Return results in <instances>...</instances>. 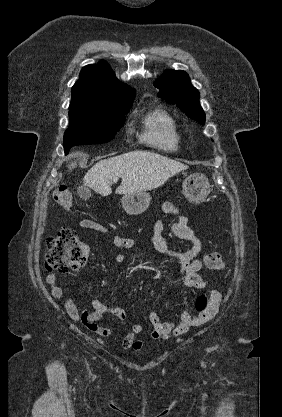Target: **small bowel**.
Listing matches in <instances>:
<instances>
[{
    "instance_id": "1",
    "label": "small bowel",
    "mask_w": 282,
    "mask_h": 417,
    "mask_svg": "<svg viewBox=\"0 0 282 417\" xmlns=\"http://www.w3.org/2000/svg\"><path fill=\"white\" fill-rule=\"evenodd\" d=\"M162 209L165 213L173 214L176 217L175 222L171 225V232L179 239L188 241L191 246L188 249L171 248L163 236L164 223L161 220H157L152 227L151 233L154 249L159 254L178 265L185 288L197 290L204 289L207 285V281L199 274V271L203 269L206 261L198 258L202 249L201 240L189 226L188 217L182 214L176 205L167 201L163 203ZM77 225L82 229L107 233V228L104 225L90 219L80 220ZM109 242L118 251L115 254V260L117 262H123L125 260L124 251L132 249L135 245L133 238L124 236H110ZM46 282L50 286L52 297L56 300L63 301L69 317L72 320L83 324L92 332L104 337L111 335L112 331L110 328L102 327L98 324V321L104 315L110 314L120 321L126 319V312L124 309L107 306L99 298L92 300V311H80L71 297H65L63 289L57 285V277L55 274H48L46 276ZM221 303L222 294L219 291L213 290L209 295L206 309L198 315L182 312L178 320L163 321L157 312L151 311L148 315L149 323L151 325V338L155 340L169 339L173 336L182 335L190 328L203 326L216 316ZM142 330L143 326L141 324H133L130 332L122 340V348L124 350L140 351L143 347V342L137 338V335L142 332Z\"/></svg>"
}]
</instances>
